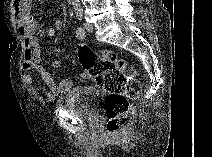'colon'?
<instances>
[{"label":"colon","instance_id":"obj_1","mask_svg":"<svg viewBox=\"0 0 212 157\" xmlns=\"http://www.w3.org/2000/svg\"><path fill=\"white\" fill-rule=\"evenodd\" d=\"M75 52L83 70V76L91 78L108 92L106 102V131L111 137H118L128 126L131 115V100L140 93V83L136 71L123 58L111 51L99 53L80 44ZM57 64V61L54 62Z\"/></svg>","mask_w":212,"mask_h":157}]
</instances>
